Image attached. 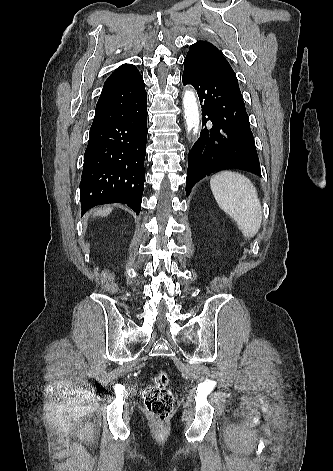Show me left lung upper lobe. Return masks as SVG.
I'll return each mask as SVG.
<instances>
[{"label": "left lung upper lobe", "mask_w": 333, "mask_h": 471, "mask_svg": "<svg viewBox=\"0 0 333 471\" xmlns=\"http://www.w3.org/2000/svg\"><path fill=\"white\" fill-rule=\"evenodd\" d=\"M188 54L201 56L212 63L242 96L235 72L223 54L213 44L207 41H198L190 46Z\"/></svg>", "instance_id": "left-lung-upper-lobe-1"}]
</instances>
